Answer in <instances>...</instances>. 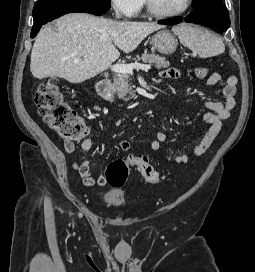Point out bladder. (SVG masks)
<instances>
[{
    "label": "bladder",
    "instance_id": "obj_1",
    "mask_svg": "<svg viewBox=\"0 0 255 272\" xmlns=\"http://www.w3.org/2000/svg\"><path fill=\"white\" fill-rule=\"evenodd\" d=\"M126 199V193L123 190H107L102 194V201L109 205H120Z\"/></svg>",
    "mask_w": 255,
    "mask_h": 272
}]
</instances>
